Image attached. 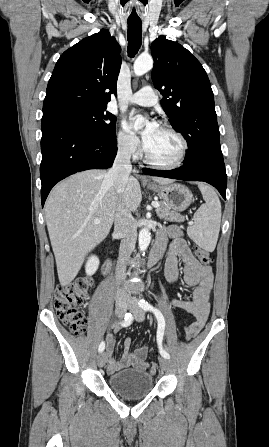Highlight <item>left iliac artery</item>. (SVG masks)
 <instances>
[{
  "label": "left iliac artery",
  "instance_id": "left-iliac-artery-1",
  "mask_svg": "<svg viewBox=\"0 0 269 447\" xmlns=\"http://www.w3.org/2000/svg\"><path fill=\"white\" fill-rule=\"evenodd\" d=\"M138 304L143 310L152 311L154 313V315L156 316L157 321H158L157 343H158V347H159V352L164 358L169 359L170 355L162 347V340H163V335H164V330H165V320H164L162 313L158 309L154 308L150 303H148L144 299H141Z\"/></svg>",
  "mask_w": 269,
  "mask_h": 447
}]
</instances>
